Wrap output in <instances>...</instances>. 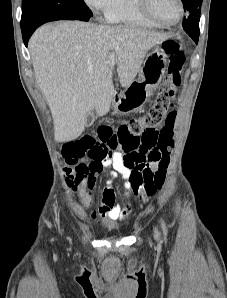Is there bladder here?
Wrapping results in <instances>:
<instances>
[{
    "mask_svg": "<svg viewBox=\"0 0 227 298\" xmlns=\"http://www.w3.org/2000/svg\"><path fill=\"white\" fill-rule=\"evenodd\" d=\"M104 228L108 232H118L121 229V227L119 225L113 224V223L104 225Z\"/></svg>",
    "mask_w": 227,
    "mask_h": 298,
    "instance_id": "1",
    "label": "bladder"
}]
</instances>
